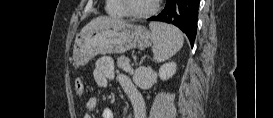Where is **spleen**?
Wrapping results in <instances>:
<instances>
[{
    "instance_id": "obj_1",
    "label": "spleen",
    "mask_w": 273,
    "mask_h": 118,
    "mask_svg": "<svg viewBox=\"0 0 273 118\" xmlns=\"http://www.w3.org/2000/svg\"><path fill=\"white\" fill-rule=\"evenodd\" d=\"M153 41V54L157 62H164L183 46V35L172 25L152 22L149 24Z\"/></svg>"
}]
</instances>
